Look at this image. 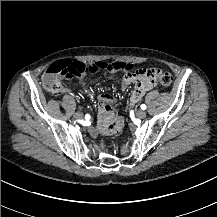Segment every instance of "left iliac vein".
<instances>
[{"label":"left iliac vein","mask_w":217,"mask_h":217,"mask_svg":"<svg viewBox=\"0 0 217 217\" xmlns=\"http://www.w3.org/2000/svg\"><path fill=\"white\" fill-rule=\"evenodd\" d=\"M135 114L139 119H144L146 117V112L144 110H138Z\"/></svg>","instance_id":"1"}]
</instances>
